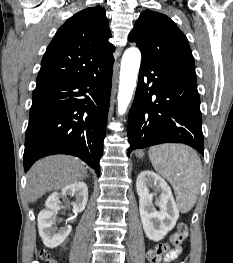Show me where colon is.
Instances as JSON below:
<instances>
[{
    "instance_id": "colon-1",
    "label": "colon",
    "mask_w": 233,
    "mask_h": 263,
    "mask_svg": "<svg viewBox=\"0 0 233 263\" xmlns=\"http://www.w3.org/2000/svg\"><path fill=\"white\" fill-rule=\"evenodd\" d=\"M187 235L188 231L186 224H179L177 231L171 235L169 241L158 243L148 252L147 258L149 263H161L162 259L170 249L172 247H179L186 240ZM40 257L45 263H57V261L50 257L45 250L40 251Z\"/></svg>"
}]
</instances>
